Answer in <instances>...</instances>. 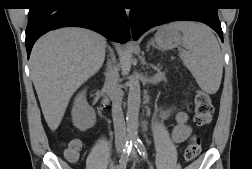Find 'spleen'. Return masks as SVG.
<instances>
[{
	"label": "spleen",
	"mask_w": 252,
	"mask_h": 169,
	"mask_svg": "<svg viewBox=\"0 0 252 169\" xmlns=\"http://www.w3.org/2000/svg\"><path fill=\"white\" fill-rule=\"evenodd\" d=\"M183 33V50L180 57L199 87L208 94H215L221 83L223 56L217 38L211 29L194 22L172 24Z\"/></svg>",
	"instance_id": "3e777b00"
}]
</instances>
